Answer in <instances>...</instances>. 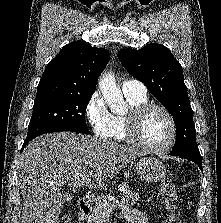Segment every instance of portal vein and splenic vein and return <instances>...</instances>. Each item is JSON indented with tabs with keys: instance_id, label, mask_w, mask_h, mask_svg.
<instances>
[{
	"instance_id": "portal-vein-and-splenic-vein-1",
	"label": "portal vein and splenic vein",
	"mask_w": 221,
	"mask_h": 223,
	"mask_svg": "<svg viewBox=\"0 0 221 223\" xmlns=\"http://www.w3.org/2000/svg\"><path fill=\"white\" fill-rule=\"evenodd\" d=\"M87 181H89L87 178H82L78 183H76V185H84L85 183H87ZM114 203L116 205L118 204V201L115 200Z\"/></svg>"
}]
</instances>
